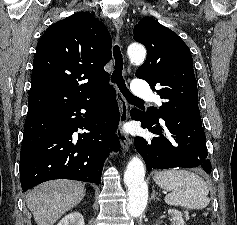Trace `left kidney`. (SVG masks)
<instances>
[{"instance_id":"5707ae66","label":"left kidney","mask_w":237,"mask_h":225,"mask_svg":"<svg viewBox=\"0 0 237 225\" xmlns=\"http://www.w3.org/2000/svg\"><path fill=\"white\" fill-rule=\"evenodd\" d=\"M168 214L170 216L171 225H185L183 215L180 211L169 209Z\"/></svg>"}]
</instances>
